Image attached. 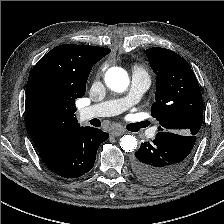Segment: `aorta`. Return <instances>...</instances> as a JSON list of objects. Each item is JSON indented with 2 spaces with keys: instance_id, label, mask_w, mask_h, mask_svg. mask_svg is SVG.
I'll list each match as a JSON object with an SVG mask.
<instances>
[{
  "instance_id": "1",
  "label": "aorta",
  "mask_w": 224,
  "mask_h": 224,
  "mask_svg": "<svg viewBox=\"0 0 224 224\" xmlns=\"http://www.w3.org/2000/svg\"><path fill=\"white\" fill-rule=\"evenodd\" d=\"M105 83L115 92H124L129 85L128 74L121 67H111L106 71ZM120 146L125 152H132L137 147V139L133 135H124Z\"/></svg>"
}]
</instances>
